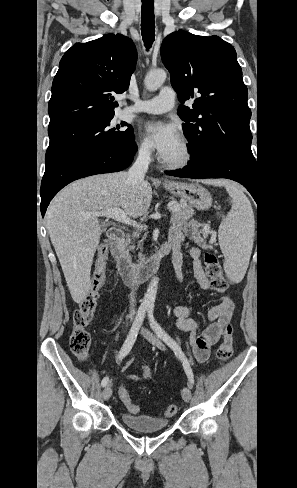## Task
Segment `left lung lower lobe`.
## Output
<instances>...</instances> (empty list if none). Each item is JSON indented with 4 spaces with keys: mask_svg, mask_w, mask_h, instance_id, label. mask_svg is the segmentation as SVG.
Listing matches in <instances>:
<instances>
[{
    "mask_svg": "<svg viewBox=\"0 0 297 488\" xmlns=\"http://www.w3.org/2000/svg\"><path fill=\"white\" fill-rule=\"evenodd\" d=\"M166 174L184 178H228L241 183L258 201L256 161L225 153L209 154L177 171Z\"/></svg>",
    "mask_w": 297,
    "mask_h": 488,
    "instance_id": "1",
    "label": "left lung lower lobe"
}]
</instances>
